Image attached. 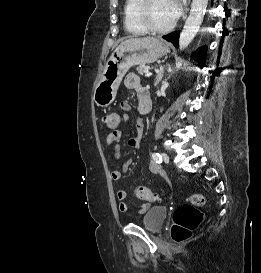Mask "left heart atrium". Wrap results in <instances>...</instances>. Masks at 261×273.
Instances as JSON below:
<instances>
[{"label": "left heart atrium", "mask_w": 261, "mask_h": 273, "mask_svg": "<svg viewBox=\"0 0 261 273\" xmlns=\"http://www.w3.org/2000/svg\"><path fill=\"white\" fill-rule=\"evenodd\" d=\"M170 2L172 6L173 15L175 18H177L182 11V2L181 0H170Z\"/></svg>", "instance_id": "left-heart-atrium-1"}]
</instances>
